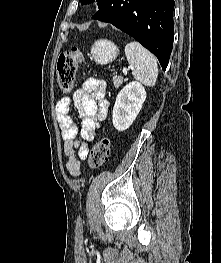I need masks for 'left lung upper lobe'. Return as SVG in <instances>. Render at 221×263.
<instances>
[{"label": "left lung upper lobe", "mask_w": 221, "mask_h": 263, "mask_svg": "<svg viewBox=\"0 0 221 263\" xmlns=\"http://www.w3.org/2000/svg\"><path fill=\"white\" fill-rule=\"evenodd\" d=\"M93 1H95V0H80V2L82 4H89V3L93 2ZM97 1H99L98 5L101 6L105 0H101V1L97 0Z\"/></svg>", "instance_id": "1"}]
</instances>
